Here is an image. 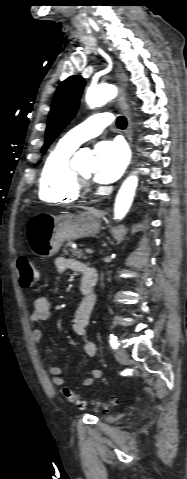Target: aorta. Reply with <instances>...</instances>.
Instances as JSON below:
<instances>
[{"mask_svg":"<svg viewBox=\"0 0 187 479\" xmlns=\"http://www.w3.org/2000/svg\"><path fill=\"white\" fill-rule=\"evenodd\" d=\"M117 94L115 86L110 84H103L95 87H90L86 93V103L90 108L103 106L108 101L112 100ZM75 161L78 165L84 166L90 171L98 170V160L96 158H84L79 152L75 155ZM138 185V178L135 175H130L122 184L114 205V218L121 220L129 211L133 202L136 187Z\"/></svg>","mask_w":187,"mask_h":479,"instance_id":"aorta-1","label":"aorta"}]
</instances>
